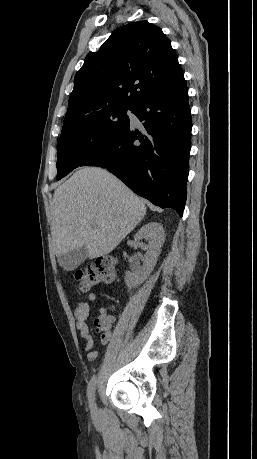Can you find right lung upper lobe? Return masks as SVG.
<instances>
[{
    "label": "right lung upper lobe",
    "mask_w": 257,
    "mask_h": 459,
    "mask_svg": "<svg viewBox=\"0 0 257 459\" xmlns=\"http://www.w3.org/2000/svg\"><path fill=\"white\" fill-rule=\"evenodd\" d=\"M183 70L162 30L147 21L115 30L75 75L63 128L113 107H135Z\"/></svg>",
    "instance_id": "right-lung-upper-lobe-1"
}]
</instances>
